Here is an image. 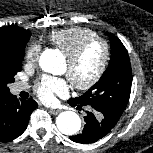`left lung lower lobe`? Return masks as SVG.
Segmentation results:
<instances>
[{"mask_svg":"<svg viewBox=\"0 0 153 153\" xmlns=\"http://www.w3.org/2000/svg\"><path fill=\"white\" fill-rule=\"evenodd\" d=\"M68 103L71 106L78 105L80 108L84 106L76 103L72 99H70ZM86 113L87 115L84 117L86 124L82 133L75 136H70V139L74 142L81 144L94 143L106 136L116 124L111 119L100 115L92 108L89 111H86Z\"/></svg>","mask_w":153,"mask_h":153,"instance_id":"left-lung-lower-lobe-1","label":"left lung lower lobe"}]
</instances>
